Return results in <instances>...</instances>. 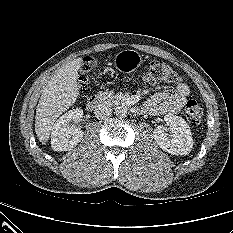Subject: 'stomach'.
I'll use <instances>...</instances> for the list:
<instances>
[{
	"mask_svg": "<svg viewBox=\"0 0 233 233\" xmlns=\"http://www.w3.org/2000/svg\"><path fill=\"white\" fill-rule=\"evenodd\" d=\"M143 62L142 56L136 50H122L115 55L114 65L123 72H131Z\"/></svg>",
	"mask_w": 233,
	"mask_h": 233,
	"instance_id": "0dacf381",
	"label": "stomach"
}]
</instances>
